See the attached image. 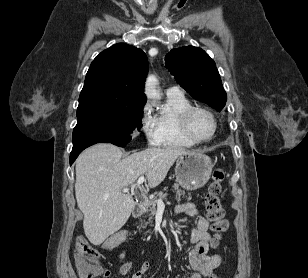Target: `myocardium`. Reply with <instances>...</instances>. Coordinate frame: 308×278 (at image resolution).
<instances>
[{"mask_svg":"<svg viewBox=\"0 0 308 278\" xmlns=\"http://www.w3.org/2000/svg\"><path fill=\"white\" fill-rule=\"evenodd\" d=\"M203 111L205 113H207L212 121H213V131L211 133V135L207 138H198L195 135H193V133L191 132L190 128H189V117L190 115L194 112V111ZM177 121H178V126L180 128V131L182 132V134L189 139L190 141H192L195 144H199V143H205L208 142L210 140H212L214 138V136L216 135V132L218 130V121L217 118L215 116V114L208 109L207 107L201 106V105H190L186 108H184L183 110H181L177 116Z\"/></svg>","mask_w":308,"mask_h":278,"instance_id":"obj_1","label":"myocardium"}]
</instances>
